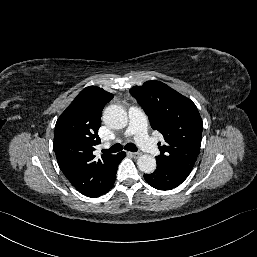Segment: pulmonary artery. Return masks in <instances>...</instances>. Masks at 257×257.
Instances as JSON below:
<instances>
[{
	"label": "pulmonary artery",
	"mask_w": 257,
	"mask_h": 257,
	"mask_svg": "<svg viewBox=\"0 0 257 257\" xmlns=\"http://www.w3.org/2000/svg\"><path fill=\"white\" fill-rule=\"evenodd\" d=\"M127 136H134L139 146L148 154L156 155L158 147L147 134V120L144 112L137 106L129 109V124L125 131Z\"/></svg>",
	"instance_id": "pulmonary-artery-1"
}]
</instances>
